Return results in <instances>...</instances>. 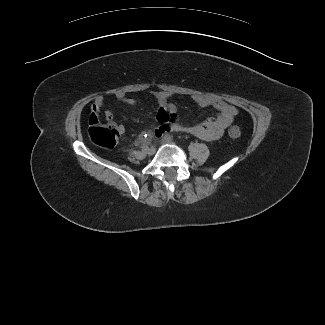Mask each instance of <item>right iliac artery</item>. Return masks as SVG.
I'll return each instance as SVG.
<instances>
[{
	"label": "right iliac artery",
	"mask_w": 325,
	"mask_h": 325,
	"mask_svg": "<svg viewBox=\"0 0 325 325\" xmlns=\"http://www.w3.org/2000/svg\"><path fill=\"white\" fill-rule=\"evenodd\" d=\"M148 149H149V148H148V145H143L142 150H143L144 152H146Z\"/></svg>",
	"instance_id": "obj_1"
}]
</instances>
